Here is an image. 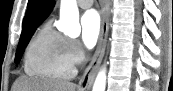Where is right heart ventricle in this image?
Masks as SVG:
<instances>
[{
	"instance_id": "1",
	"label": "right heart ventricle",
	"mask_w": 173,
	"mask_h": 91,
	"mask_svg": "<svg viewBox=\"0 0 173 91\" xmlns=\"http://www.w3.org/2000/svg\"><path fill=\"white\" fill-rule=\"evenodd\" d=\"M25 71L46 80L68 79L74 66L67 54V39L45 24L33 37L25 53Z\"/></svg>"
}]
</instances>
